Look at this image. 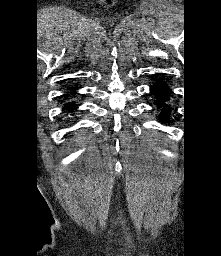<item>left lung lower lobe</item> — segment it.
<instances>
[{"instance_id": "left-lung-lower-lobe-1", "label": "left lung lower lobe", "mask_w": 221, "mask_h": 256, "mask_svg": "<svg viewBox=\"0 0 221 256\" xmlns=\"http://www.w3.org/2000/svg\"><path fill=\"white\" fill-rule=\"evenodd\" d=\"M151 93H153L159 99V101L155 102V105L158 108H162V112H161L162 118L163 119L166 118L168 120L169 113L171 110V107L165 104L170 94V90L168 86L163 81H159L155 85H153V87H151Z\"/></svg>"}]
</instances>
